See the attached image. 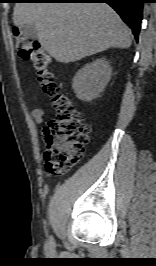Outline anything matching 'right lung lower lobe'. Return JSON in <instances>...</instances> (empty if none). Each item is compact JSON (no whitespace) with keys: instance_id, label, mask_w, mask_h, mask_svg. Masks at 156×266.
Returning <instances> with one entry per match:
<instances>
[{"instance_id":"obj_1","label":"right lung lower lobe","mask_w":156,"mask_h":266,"mask_svg":"<svg viewBox=\"0 0 156 266\" xmlns=\"http://www.w3.org/2000/svg\"><path fill=\"white\" fill-rule=\"evenodd\" d=\"M44 3H107L123 19V21L132 29L135 39L141 27L144 0H27Z\"/></svg>"}]
</instances>
